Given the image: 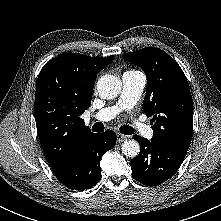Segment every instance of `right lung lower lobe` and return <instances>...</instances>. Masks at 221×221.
<instances>
[{"label": "right lung lower lobe", "mask_w": 221, "mask_h": 221, "mask_svg": "<svg viewBox=\"0 0 221 221\" xmlns=\"http://www.w3.org/2000/svg\"><path fill=\"white\" fill-rule=\"evenodd\" d=\"M115 144L116 134L112 130L101 134H88L70 164L62 172L56 173V176L69 189H90L101 179V156Z\"/></svg>", "instance_id": "1"}]
</instances>
